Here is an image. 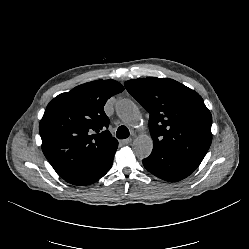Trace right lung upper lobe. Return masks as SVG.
I'll return each mask as SVG.
<instances>
[{
    "mask_svg": "<svg viewBox=\"0 0 249 249\" xmlns=\"http://www.w3.org/2000/svg\"><path fill=\"white\" fill-rule=\"evenodd\" d=\"M124 90L115 80L79 85L52 99L39 124L42 150L63 179L88 167L118 141L107 130L106 101Z\"/></svg>",
    "mask_w": 249,
    "mask_h": 249,
    "instance_id": "right-lung-upper-lobe-1",
    "label": "right lung upper lobe"
}]
</instances>
